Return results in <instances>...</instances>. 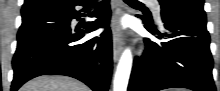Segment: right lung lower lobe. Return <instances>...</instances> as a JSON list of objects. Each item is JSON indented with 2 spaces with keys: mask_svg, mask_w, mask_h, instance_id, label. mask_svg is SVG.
<instances>
[{
  "mask_svg": "<svg viewBox=\"0 0 220 91\" xmlns=\"http://www.w3.org/2000/svg\"><path fill=\"white\" fill-rule=\"evenodd\" d=\"M92 0H64L53 6L22 14L17 50L13 57L16 91L28 80L40 75H66L87 84L94 91H107L112 72V38L106 27L99 36L87 41L85 34L107 26L110 20L109 0H103L90 17L98 18L83 28L72 27L81 10H89Z\"/></svg>",
  "mask_w": 220,
  "mask_h": 91,
  "instance_id": "98d812e1",
  "label": "right lung lower lobe"
}]
</instances>
